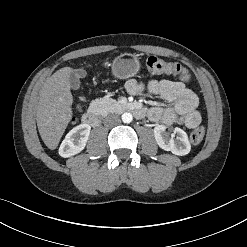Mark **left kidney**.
<instances>
[{
    "label": "left kidney",
    "instance_id": "1",
    "mask_svg": "<svg viewBox=\"0 0 247 247\" xmlns=\"http://www.w3.org/2000/svg\"><path fill=\"white\" fill-rule=\"evenodd\" d=\"M176 135V138L174 139ZM154 137L159 145L165 151H171L178 156L186 155L191 150V145L185 131L175 128L174 133L169 136L164 125H157L154 128Z\"/></svg>",
    "mask_w": 247,
    "mask_h": 247
}]
</instances>
